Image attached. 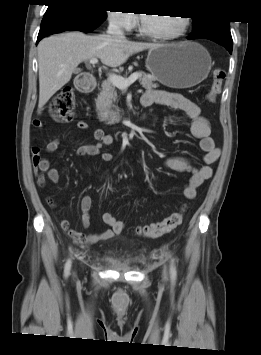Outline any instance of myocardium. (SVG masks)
Returning a JSON list of instances; mask_svg holds the SVG:
<instances>
[{
  "mask_svg": "<svg viewBox=\"0 0 261 355\" xmlns=\"http://www.w3.org/2000/svg\"><path fill=\"white\" fill-rule=\"evenodd\" d=\"M181 19V28L173 33V34H159L155 33L152 31H149L146 29L143 21V17L140 19V24H139V32L144 35L145 37L154 39V40H161V41H170V40H175L183 36L190 24V19L187 16H180Z\"/></svg>",
  "mask_w": 261,
  "mask_h": 355,
  "instance_id": "obj_1",
  "label": "myocardium"
}]
</instances>
